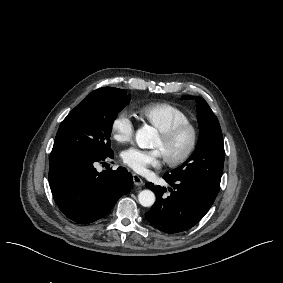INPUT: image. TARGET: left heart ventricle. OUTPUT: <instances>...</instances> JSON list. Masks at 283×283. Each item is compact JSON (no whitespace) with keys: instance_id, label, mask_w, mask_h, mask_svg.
<instances>
[{"instance_id":"1","label":"left heart ventricle","mask_w":283,"mask_h":283,"mask_svg":"<svg viewBox=\"0 0 283 283\" xmlns=\"http://www.w3.org/2000/svg\"><path fill=\"white\" fill-rule=\"evenodd\" d=\"M189 143L190 134L189 132H184L175 141L169 144L162 142L159 137L155 147L161 151L163 157H177L186 150Z\"/></svg>"}]
</instances>
